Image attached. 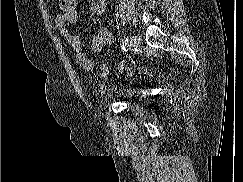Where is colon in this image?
I'll use <instances>...</instances> for the list:
<instances>
[{
  "mask_svg": "<svg viewBox=\"0 0 243 182\" xmlns=\"http://www.w3.org/2000/svg\"><path fill=\"white\" fill-rule=\"evenodd\" d=\"M97 74L100 78H107L109 76V69L105 64H101L97 70Z\"/></svg>",
  "mask_w": 243,
  "mask_h": 182,
  "instance_id": "colon-1",
  "label": "colon"
}]
</instances>
